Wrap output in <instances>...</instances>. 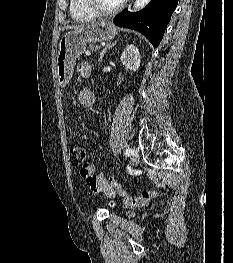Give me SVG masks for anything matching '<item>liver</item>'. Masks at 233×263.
<instances>
[{"label": "liver", "mask_w": 233, "mask_h": 263, "mask_svg": "<svg viewBox=\"0 0 233 263\" xmlns=\"http://www.w3.org/2000/svg\"><path fill=\"white\" fill-rule=\"evenodd\" d=\"M81 26H67L66 29H78Z\"/></svg>", "instance_id": "1"}]
</instances>
